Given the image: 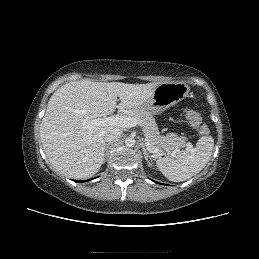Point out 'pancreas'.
I'll list each match as a JSON object with an SVG mask.
<instances>
[{
    "label": "pancreas",
    "instance_id": "cf45deb5",
    "mask_svg": "<svg viewBox=\"0 0 259 259\" xmlns=\"http://www.w3.org/2000/svg\"><path fill=\"white\" fill-rule=\"evenodd\" d=\"M126 117L137 118L144 128V133L147 135L151 146L159 149L161 152L188 146L187 138L184 136L179 137L176 133H168L165 136H161L155 119L149 112L135 109L128 111Z\"/></svg>",
    "mask_w": 259,
    "mask_h": 259
}]
</instances>
